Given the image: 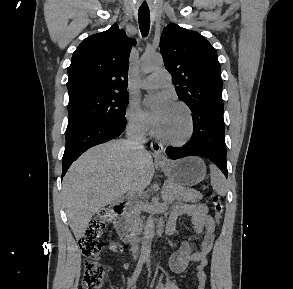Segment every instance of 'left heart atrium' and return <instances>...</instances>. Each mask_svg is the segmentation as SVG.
Returning <instances> with one entry per match:
<instances>
[{"instance_id":"39dd6f15","label":"left heart atrium","mask_w":293,"mask_h":289,"mask_svg":"<svg viewBox=\"0 0 293 289\" xmlns=\"http://www.w3.org/2000/svg\"><path fill=\"white\" fill-rule=\"evenodd\" d=\"M143 104L154 126H157L166 117L173 106L170 98L164 94L149 95L144 98Z\"/></svg>"}]
</instances>
